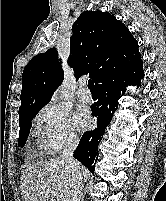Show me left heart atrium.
<instances>
[{"mask_svg":"<svg viewBox=\"0 0 166 201\" xmlns=\"http://www.w3.org/2000/svg\"><path fill=\"white\" fill-rule=\"evenodd\" d=\"M74 121L79 129H83L89 123V116L86 111L78 110L74 116Z\"/></svg>","mask_w":166,"mask_h":201,"instance_id":"1","label":"left heart atrium"}]
</instances>
